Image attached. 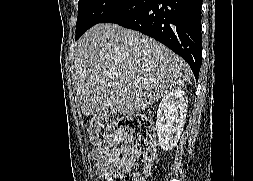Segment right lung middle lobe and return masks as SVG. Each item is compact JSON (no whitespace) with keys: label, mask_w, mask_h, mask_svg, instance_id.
I'll use <instances>...</instances> for the list:
<instances>
[{"label":"right lung middle lobe","mask_w":253,"mask_h":181,"mask_svg":"<svg viewBox=\"0 0 253 181\" xmlns=\"http://www.w3.org/2000/svg\"><path fill=\"white\" fill-rule=\"evenodd\" d=\"M128 0H79L76 36L78 38L87 29L101 23L117 11Z\"/></svg>","instance_id":"right-lung-middle-lobe-1"}]
</instances>
